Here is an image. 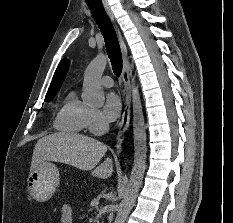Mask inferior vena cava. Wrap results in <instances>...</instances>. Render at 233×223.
<instances>
[{
    "mask_svg": "<svg viewBox=\"0 0 233 223\" xmlns=\"http://www.w3.org/2000/svg\"><path fill=\"white\" fill-rule=\"evenodd\" d=\"M101 127L104 129V131H109V121H106V119H101Z\"/></svg>",
    "mask_w": 233,
    "mask_h": 223,
    "instance_id": "inferior-vena-cava-1",
    "label": "inferior vena cava"
}]
</instances>
